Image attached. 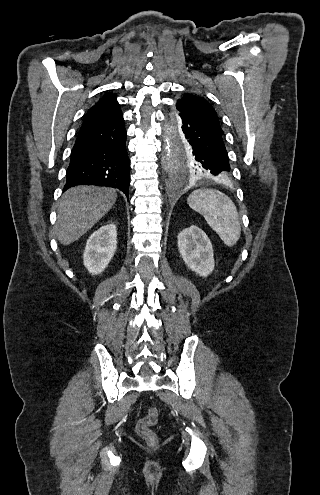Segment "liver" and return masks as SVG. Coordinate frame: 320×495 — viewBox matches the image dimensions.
<instances>
[{
  "label": "liver",
  "mask_w": 320,
  "mask_h": 495,
  "mask_svg": "<svg viewBox=\"0 0 320 495\" xmlns=\"http://www.w3.org/2000/svg\"><path fill=\"white\" fill-rule=\"evenodd\" d=\"M114 189L97 186H76L67 190L58 206L56 236L63 245L78 240L115 204Z\"/></svg>",
  "instance_id": "1"
}]
</instances>
